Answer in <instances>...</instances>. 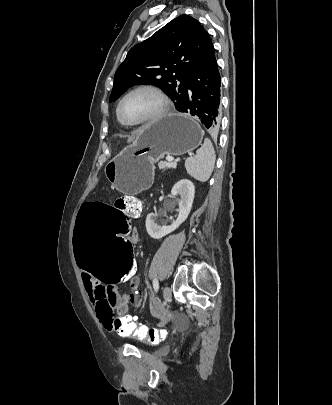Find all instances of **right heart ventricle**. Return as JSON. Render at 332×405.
<instances>
[{"instance_id":"e07e8e85","label":"right heart ventricle","mask_w":332,"mask_h":405,"mask_svg":"<svg viewBox=\"0 0 332 405\" xmlns=\"http://www.w3.org/2000/svg\"><path fill=\"white\" fill-rule=\"evenodd\" d=\"M116 114H117V113H116ZM117 119H118V121L120 122V124L125 125L124 123H122V122L119 120L118 116H117Z\"/></svg>"}]
</instances>
